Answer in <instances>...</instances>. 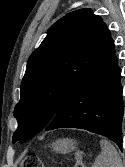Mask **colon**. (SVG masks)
<instances>
[{"mask_svg": "<svg viewBox=\"0 0 125 167\" xmlns=\"http://www.w3.org/2000/svg\"><path fill=\"white\" fill-rule=\"evenodd\" d=\"M21 167H45L42 160L34 153L27 154L23 160ZM73 167H85L80 154L76 157V162Z\"/></svg>", "mask_w": 125, "mask_h": 167, "instance_id": "colon-1", "label": "colon"}]
</instances>
